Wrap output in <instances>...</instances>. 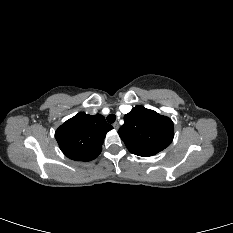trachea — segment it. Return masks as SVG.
I'll return each instance as SVG.
<instances>
[{"instance_id": "trachea-1", "label": "trachea", "mask_w": 233, "mask_h": 233, "mask_svg": "<svg viewBox=\"0 0 233 233\" xmlns=\"http://www.w3.org/2000/svg\"><path fill=\"white\" fill-rule=\"evenodd\" d=\"M115 120H116V116H115L114 114H109V115L107 116V121H108L109 123H114Z\"/></svg>"}]
</instances>
